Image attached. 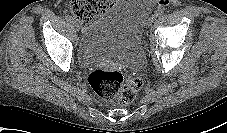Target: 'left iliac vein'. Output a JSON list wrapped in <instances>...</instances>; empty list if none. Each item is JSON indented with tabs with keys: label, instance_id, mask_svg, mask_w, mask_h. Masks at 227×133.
I'll list each match as a JSON object with an SVG mask.
<instances>
[{
	"label": "left iliac vein",
	"instance_id": "1",
	"mask_svg": "<svg viewBox=\"0 0 227 133\" xmlns=\"http://www.w3.org/2000/svg\"><path fill=\"white\" fill-rule=\"evenodd\" d=\"M155 18H156L155 15H152L151 17H149L148 22H147V26L150 27L152 25V23L154 22Z\"/></svg>",
	"mask_w": 227,
	"mask_h": 133
}]
</instances>
